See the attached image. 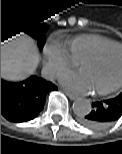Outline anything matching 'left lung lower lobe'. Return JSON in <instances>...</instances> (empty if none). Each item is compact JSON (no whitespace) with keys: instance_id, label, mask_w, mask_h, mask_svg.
Here are the masks:
<instances>
[{"instance_id":"obj_1","label":"left lung lower lobe","mask_w":122,"mask_h":154,"mask_svg":"<svg viewBox=\"0 0 122 154\" xmlns=\"http://www.w3.org/2000/svg\"><path fill=\"white\" fill-rule=\"evenodd\" d=\"M92 111L80 117L83 126L100 130L109 127L122 116V93L112 99L92 103Z\"/></svg>"}]
</instances>
